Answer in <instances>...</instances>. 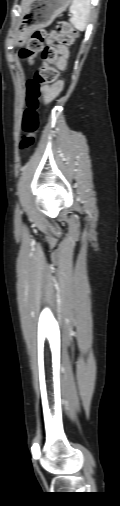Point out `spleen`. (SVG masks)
Masks as SVG:
<instances>
[{
    "instance_id": "3e777b00",
    "label": "spleen",
    "mask_w": 120,
    "mask_h": 506,
    "mask_svg": "<svg viewBox=\"0 0 120 506\" xmlns=\"http://www.w3.org/2000/svg\"><path fill=\"white\" fill-rule=\"evenodd\" d=\"M90 10V0H73L72 5L69 9L72 15L70 22L77 30H85L90 15Z\"/></svg>"
}]
</instances>
